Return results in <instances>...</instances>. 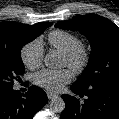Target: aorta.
Instances as JSON below:
<instances>
[{
    "label": "aorta",
    "mask_w": 119,
    "mask_h": 119,
    "mask_svg": "<svg viewBox=\"0 0 119 119\" xmlns=\"http://www.w3.org/2000/svg\"><path fill=\"white\" fill-rule=\"evenodd\" d=\"M44 64L48 68H57L59 65L58 58L54 53H48L44 57ZM50 110L54 113H61L65 109V102L59 96H54L49 103Z\"/></svg>",
    "instance_id": "aorta-1"
}]
</instances>
